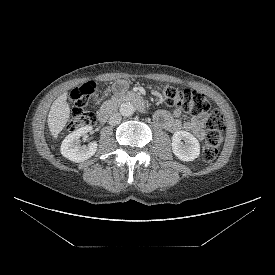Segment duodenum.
<instances>
[{
	"label": "duodenum",
	"mask_w": 275,
	"mask_h": 275,
	"mask_svg": "<svg viewBox=\"0 0 275 275\" xmlns=\"http://www.w3.org/2000/svg\"><path fill=\"white\" fill-rule=\"evenodd\" d=\"M121 103H131L135 105L140 111L144 112L146 109L145 102L141 95L135 92H127L115 99L105 103L98 113V120L100 123H105L110 116L116 111Z\"/></svg>",
	"instance_id": "duodenum-1"
}]
</instances>
